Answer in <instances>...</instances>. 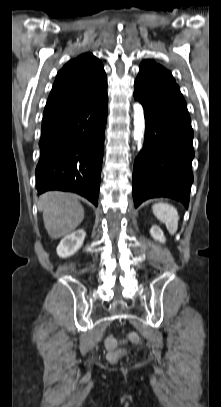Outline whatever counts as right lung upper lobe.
<instances>
[{
	"mask_svg": "<svg viewBox=\"0 0 221 407\" xmlns=\"http://www.w3.org/2000/svg\"><path fill=\"white\" fill-rule=\"evenodd\" d=\"M106 90L102 62L91 53L82 54L58 72L44 113L82 104Z\"/></svg>",
	"mask_w": 221,
	"mask_h": 407,
	"instance_id": "obj_1",
	"label": "right lung upper lobe"
}]
</instances>
